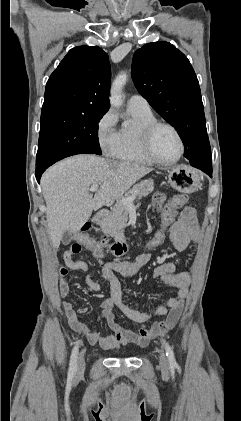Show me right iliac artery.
<instances>
[{
    "mask_svg": "<svg viewBox=\"0 0 241 421\" xmlns=\"http://www.w3.org/2000/svg\"><path fill=\"white\" fill-rule=\"evenodd\" d=\"M78 343H76L75 347L72 350V354H71V358H70V366H69V371H68V377L69 378H73L76 370H77V360H78Z\"/></svg>",
    "mask_w": 241,
    "mask_h": 421,
    "instance_id": "right-iliac-artery-1",
    "label": "right iliac artery"
}]
</instances>
